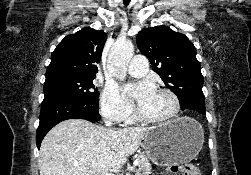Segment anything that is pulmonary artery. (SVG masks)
Wrapping results in <instances>:
<instances>
[{"label":"pulmonary artery","mask_w":251,"mask_h":175,"mask_svg":"<svg viewBox=\"0 0 251 175\" xmlns=\"http://www.w3.org/2000/svg\"><path fill=\"white\" fill-rule=\"evenodd\" d=\"M147 67V58L143 55H134L133 62L128 66L127 71L132 76H146Z\"/></svg>","instance_id":"pulmonary-artery-1"}]
</instances>
